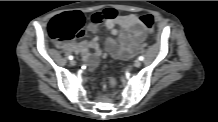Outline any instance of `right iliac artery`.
<instances>
[{
    "label": "right iliac artery",
    "instance_id": "82829eb1",
    "mask_svg": "<svg viewBox=\"0 0 218 122\" xmlns=\"http://www.w3.org/2000/svg\"><path fill=\"white\" fill-rule=\"evenodd\" d=\"M68 58H69L70 60H73V56H72V55H70Z\"/></svg>",
    "mask_w": 218,
    "mask_h": 122
}]
</instances>
